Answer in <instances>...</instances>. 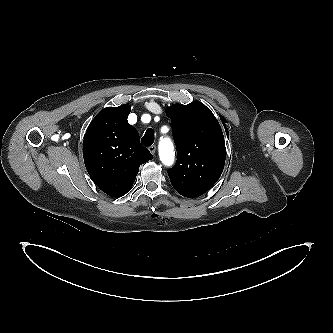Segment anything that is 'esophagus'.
<instances>
[{
	"label": "esophagus",
	"instance_id": "esophagus-1",
	"mask_svg": "<svg viewBox=\"0 0 333 333\" xmlns=\"http://www.w3.org/2000/svg\"><path fill=\"white\" fill-rule=\"evenodd\" d=\"M148 149H149V151L152 155L155 154V152H156V146L155 145L150 146Z\"/></svg>",
	"mask_w": 333,
	"mask_h": 333
}]
</instances>
